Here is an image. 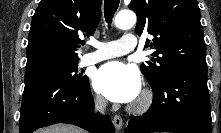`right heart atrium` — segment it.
<instances>
[{"label":"right heart atrium","mask_w":221,"mask_h":133,"mask_svg":"<svg viewBox=\"0 0 221 133\" xmlns=\"http://www.w3.org/2000/svg\"><path fill=\"white\" fill-rule=\"evenodd\" d=\"M94 103L98 108H102L105 105V100L100 95H95L94 97Z\"/></svg>","instance_id":"right-heart-atrium-1"}]
</instances>
